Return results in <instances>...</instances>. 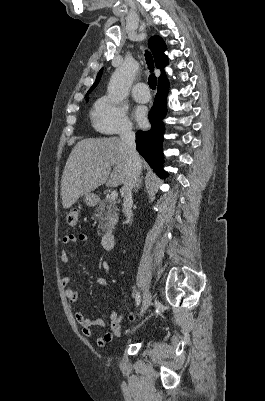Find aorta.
I'll list each match as a JSON object with an SVG mask.
<instances>
[{
  "label": "aorta",
  "instance_id": "1",
  "mask_svg": "<svg viewBox=\"0 0 265 401\" xmlns=\"http://www.w3.org/2000/svg\"><path fill=\"white\" fill-rule=\"evenodd\" d=\"M139 70V62L135 58H126L120 68H116L113 72L110 82L107 86L109 98L113 102L124 100L128 94V88L134 80Z\"/></svg>",
  "mask_w": 265,
  "mask_h": 401
}]
</instances>
